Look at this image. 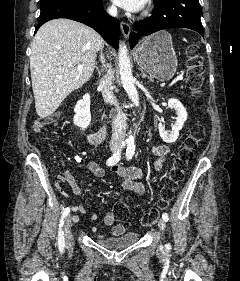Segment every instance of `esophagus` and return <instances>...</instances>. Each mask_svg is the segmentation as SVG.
I'll return each mask as SVG.
<instances>
[{"label":"esophagus","mask_w":240,"mask_h":281,"mask_svg":"<svg viewBox=\"0 0 240 281\" xmlns=\"http://www.w3.org/2000/svg\"><path fill=\"white\" fill-rule=\"evenodd\" d=\"M120 26H121V31H122L124 37H125V38H128L129 35H130V32H131V26H130V24H129L128 22L122 21L121 24H120Z\"/></svg>","instance_id":"34e87169"}]
</instances>
